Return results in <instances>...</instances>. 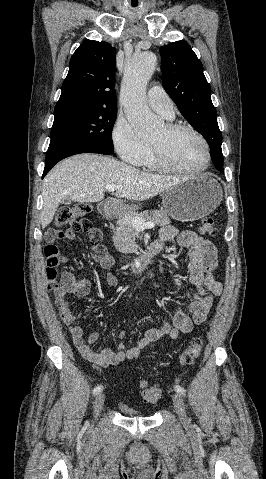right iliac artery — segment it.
Returning a JSON list of instances; mask_svg holds the SVG:
<instances>
[{"mask_svg":"<svg viewBox=\"0 0 266 479\" xmlns=\"http://www.w3.org/2000/svg\"><path fill=\"white\" fill-rule=\"evenodd\" d=\"M103 389V386L102 385H97L94 389H93V395H97L100 391H102Z\"/></svg>","mask_w":266,"mask_h":479,"instance_id":"82829eb1","label":"right iliac artery"}]
</instances>
